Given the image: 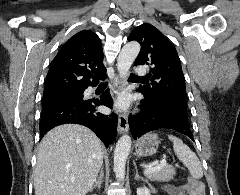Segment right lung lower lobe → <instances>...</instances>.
Segmentation results:
<instances>
[{"label": "right lung lower lobe", "instance_id": "right-lung-lower-lobe-1", "mask_svg": "<svg viewBox=\"0 0 240 195\" xmlns=\"http://www.w3.org/2000/svg\"><path fill=\"white\" fill-rule=\"evenodd\" d=\"M58 99L43 104L39 124L40 139L53 127L64 123H76L90 128L106 146L111 144L117 135V115H105L97 112L99 105L112 108L113 100L109 90L99 100Z\"/></svg>", "mask_w": 240, "mask_h": 195}]
</instances>
